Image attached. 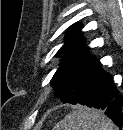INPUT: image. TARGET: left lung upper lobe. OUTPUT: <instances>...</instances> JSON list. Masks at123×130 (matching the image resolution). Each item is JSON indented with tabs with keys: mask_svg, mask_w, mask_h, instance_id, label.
<instances>
[{
	"mask_svg": "<svg viewBox=\"0 0 123 130\" xmlns=\"http://www.w3.org/2000/svg\"><path fill=\"white\" fill-rule=\"evenodd\" d=\"M81 24L71 26L67 31L65 44L57 52L62 62L54 74L51 85L55 96L64 103L76 104L81 96L89 74L97 64L89 49L82 45Z\"/></svg>",
	"mask_w": 123,
	"mask_h": 130,
	"instance_id": "5c2ea615",
	"label": "left lung upper lobe"
}]
</instances>
